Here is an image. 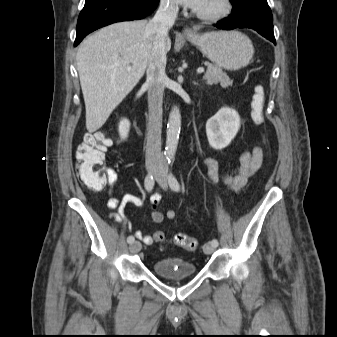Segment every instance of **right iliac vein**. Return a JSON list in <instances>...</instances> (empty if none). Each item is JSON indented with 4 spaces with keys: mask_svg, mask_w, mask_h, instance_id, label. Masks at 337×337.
Here are the masks:
<instances>
[{
    "mask_svg": "<svg viewBox=\"0 0 337 337\" xmlns=\"http://www.w3.org/2000/svg\"><path fill=\"white\" fill-rule=\"evenodd\" d=\"M155 169H156V165L154 163L149 164V166H148L149 171L153 172ZM129 249H130L131 253H133V254L137 253L141 249V243L139 241H134L130 244Z\"/></svg>",
    "mask_w": 337,
    "mask_h": 337,
    "instance_id": "63e3f726",
    "label": "right iliac vein"
}]
</instances>
